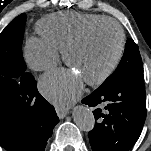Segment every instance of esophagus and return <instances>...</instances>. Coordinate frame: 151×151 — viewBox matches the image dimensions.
I'll return each mask as SVG.
<instances>
[{"label": "esophagus", "mask_w": 151, "mask_h": 151, "mask_svg": "<svg viewBox=\"0 0 151 151\" xmlns=\"http://www.w3.org/2000/svg\"><path fill=\"white\" fill-rule=\"evenodd\" d=\"M56 112L59 118H64L68 115V109L56 108Z\"/></svg>", "instance_id": "obj_1"}]
</instances>
